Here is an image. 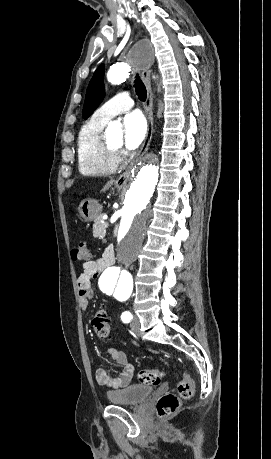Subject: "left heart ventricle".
<instances>
[{"label": "left heart ventricle", "mask_w": 271, "mask_h": 459, "mask_svg": "<svg viewBox=\"0 0 271 459\" xmlns=\"http://www.w3.org/2000/svg\"><path fill=\"white\" fill-rule=\"evenodd\" d=\"M106 139L114 146H122L123 145V133H117L113 135H109Z\"/></svg>", "instance_id": "left-heart-ventricle-1"}]
</instances>
